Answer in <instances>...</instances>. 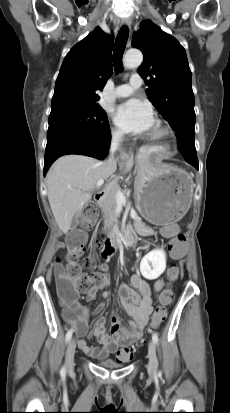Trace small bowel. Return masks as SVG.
Returning <instances> with one entry per match:
<instances>
[{"label": "small bowel", "instance_id": "obj_1", "mask_svg": "<svg viewBox=\"0 0 230 413\" xmlns=\"http://www.w3.org/2000/svg\"><path fill=\"white\" fill-rule=\"evenodd\" d=\"M177 231L178 228L175 222H164V236L172 237ZM100 270L102 283L88 291L87 299L89 301L94 300L99 291L106 289L110 285V279L106 273V265H101ZM131 286L121 285L119 288L121 305L132 318L129 327H123L118 316L113 314L111 317L110 334L105 329L106 319L103 316L96 319L92 331L89 332L88 336L96 338L101 345L100 348L88 345L84 339V336L88 333V319L90 316L87 307L75 301L70 308L64 311L67 323L73 327L77 336L78 347L91 358L105 359L111 354H117L119 361H128L125 359L124 349L142 336L143 329L153 312L152 291H162L164 289L163 280H156L152 288L145 279L136 274L131 277ZM107 296L108 293L105 292L104 298L106 299ZM105 306L106 300H103L96 307L95 313H100Z\"/></svg>", "mask_w": 230, "mask_h": 413}]
</instances>
